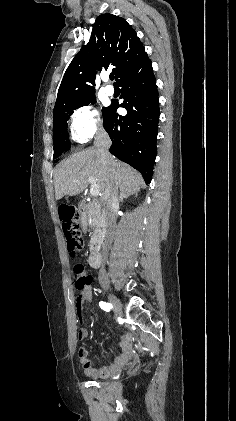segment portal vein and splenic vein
I'll use <instances>...</instances> for the list:
<instances>
[{"label": "portal vein and splenic vein", "mask_w": 236, "mask_h": 421, "mask_svg": "<svg viewBox=\"0 0 236 421\" xmlns=\"http://www.w3.org/2000/svg\"><path fill=\"white\" fill-rule=\"evenodd\" d=\"M88 182L91 184V196H97V194H99V186L96 184L95 178H93V176H88Z\"/></svg>", "instance_id": "18ae733b"}]
</instances>
